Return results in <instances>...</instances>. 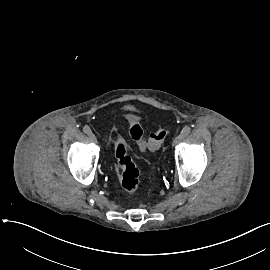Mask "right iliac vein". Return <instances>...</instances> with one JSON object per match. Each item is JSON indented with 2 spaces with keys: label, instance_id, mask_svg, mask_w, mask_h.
Masks as SVG:
<instances>
[{
  "label": "right iliac vein",
  "instance_id": "63e3f726",
  "mask_svg": "<svg viewBox=\"0 0 270 270\" xmlns=\"http://www.w3.org/2000/svg\"><path fill=\"white\" fill-rule=\"evenodd\" d=\"M89 138L93 142H96L97 141L96 136L92 132L89 134Z\"/></svg>",
  "mask_w": 270,
  "mask_h": 270
}]
</instances>
